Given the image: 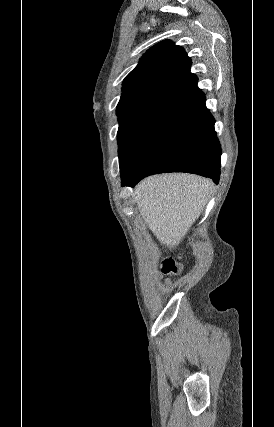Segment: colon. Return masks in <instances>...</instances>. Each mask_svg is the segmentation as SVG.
<instances>
[{"label":"colon","mask_w":274,"mask_h":427,"mask_svg":"<svg viewBox=\"0 0 274 427\" xmlns=\"http://www.w3.org/2000/svg\"><path fill=\"white\" fill-rule=\"evenodd\" d=\"M178 271L177 265L174 260L170 257L165 258L162 261L161 273L164 275L175 274Z\"/></svg>","instance_id":"colon-1"}]
</instances>
